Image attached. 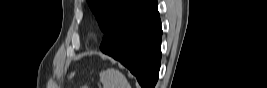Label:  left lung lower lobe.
I'll return each mask as SVG.
<instances>
[{"instance_id": "0a47b994", "label": "left lung lower lobe", "mask_w": 267, "mask_h": 88, "mask_svg": "<svg viewBox=\"0 0 267 88\" xmlns=\"http://www.w3.org/2000/svg\"><path fill=\"white\" fill-rule=\"evenodd\" d=\"M161 22L156 0H141L105 32L100 50L126 66L142 88H154L161 60Z\"/></svg>"}]
</instances>
